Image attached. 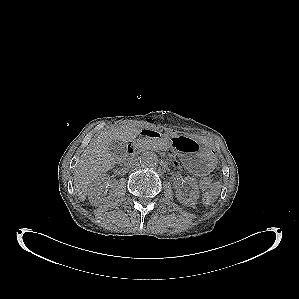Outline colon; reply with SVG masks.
<instances>
[{
	"label": "colon",
	"mask_w": 299,
	"mask_h": 299,
	"mask_svg": "<svg viewBox=\"0 0 299 299\" xmlns=\"http://www.w3.org/2000/svg\"><path fill=\"white\" fill-rule=\"evenodd\" d=\"M200 186L204 189H207L205 194L203 195L202 202L204 205H209L214 201L216 187L212 186V181L209 177H202L200 180Z\"/></svg>",
	"instance_id": "1"
}]
</instances>
